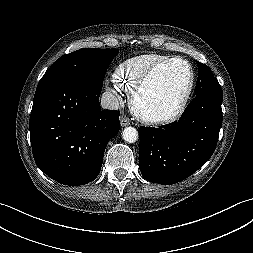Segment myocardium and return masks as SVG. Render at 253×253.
I'll list each match as a JSON object with an SVG mask.
<instances>
[{
	"instance_id": "myocardium-1",
	"label": "myocardium",
	"mask_w": 253,
	"mask_h": 253,
	"mask_svg": "<svg viewBox=\"0 0 253 253\" xmlns=\"http://www.w3.org/2000/svg\"><path fill=\"white\" fill-rule=\"evenodd\" d=\"M175 61L182 62L189 68L190 78L186 92L182 96L177 107L171 113L165 115H158L146 112L139 104L142 92L144 91L150 79L156 73L157 70ZM194 85H195V70L189 60L180 56L164 59L150 66L138 81L136 87L131 93L130 97L131 109L135 114V116H137L141 121L148 124H168L174 122L177 119H179L184 113L188 105L189 99L192 95Z\"/></svg>"
}]
</instances>
